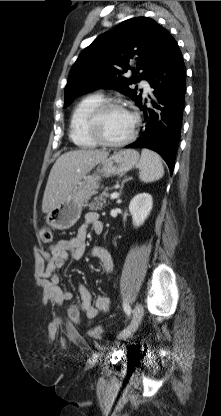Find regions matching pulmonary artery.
<instances>
[{"mask_svg": "<svg viewBox=\"0 0 221 416\" xmlns=\"http://www.w3.org/2000/svg\"><path fill=\"white\" fill-rule=\"evenodd\" d=\"M141 85H142V87L144 88V90H145V91H147V92L151 91V87H150V85H149V83H148V82L143 81V82L141 83Z\"/></svg>", "mask_w": 221, "mask_h": 416, "instance_id": "pulmonary-artery-1", "label": "pulmonary artery"}]
</instances>
